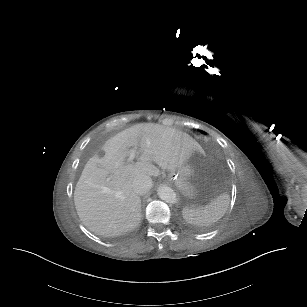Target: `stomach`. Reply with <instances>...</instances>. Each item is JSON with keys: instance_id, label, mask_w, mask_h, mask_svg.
I'll return each instance as SVG.
<instances>
[{"instance_id": "0dacf381", "label": "stomach", "mask_w": 307, "mask_h": 307, "mask_svg": "<svg viewBox=\"0 0 307 307\" xmlns=\"http://www.w3.org/2000/svg\"><path fill=\"white\" fill-rule=\"evenodd\" d=\"M202 152L195 150L190 157L178 168L170 171L168 177L184 194L194 190L193 180L201 162Z\"/></svg>"}]
</instances>
